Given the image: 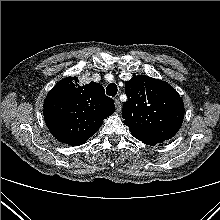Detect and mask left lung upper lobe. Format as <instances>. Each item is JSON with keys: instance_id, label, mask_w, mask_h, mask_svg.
<instances>
[{"instance_id": "5c2ea615", "label": "left lung upper lobe", "mask_w": 220, "mask_h": 220, "mask_svg": "<svg viewBox=\"0 0 220 220\" xmlns=\"http://www.w3.org/2000/svg\"><path fill=\"white\" fill-rule=\"evenodd\" d=\"M124 124L136 138L155 141L175 136L184 118V103L168 83L145 75L125 83Z\"/></svg>"}]
</instances>
